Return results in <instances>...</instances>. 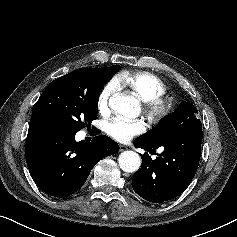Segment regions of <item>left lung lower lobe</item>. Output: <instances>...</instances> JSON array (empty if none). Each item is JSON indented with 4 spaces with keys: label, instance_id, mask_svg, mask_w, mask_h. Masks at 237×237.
Wrapping results in <instances>:
<instances>
[{
    "label": "left lung lower lobe",
    "instance_id": "1",
    "mask_svg": "<svg viewBox=\"0 0 237 237\" xmlns=\"http://www.w3.org/2000/svg\"><path fill=\"white\" fill-rule=\"evenodd\" d=\"M202 125L194 121L176 138L161 145H150L137 138L135 146L155 152L162 147L155 160L145 152L141 155L142 167L133 176L132 187L143 199L162 203L180 195L192 181L200 160Z\"/></svg>",
    "mask_w": 237,
    "mask_h": 237
}]
</instances>
